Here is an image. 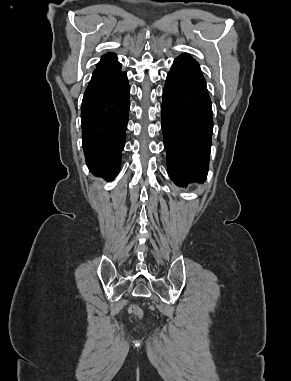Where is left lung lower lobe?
<instances>
[{"instance_id": "left-lung-lower-lobe-1", "label": "left lung lower lobe", "mask_w": 291, "mask_h": 381, "mask_svg": "<svg viewBox=\"0 0 291 381\" xmlns=\"http://www.w3.org/2000/svg\"><path fill=\"white\" fill-rule=\"evenodd\" d=\"M162 130L170 178L178 186L203 182L209 169L212 103L199 64L181 54L167 75Z\"/></svg>"}]
</instances>
